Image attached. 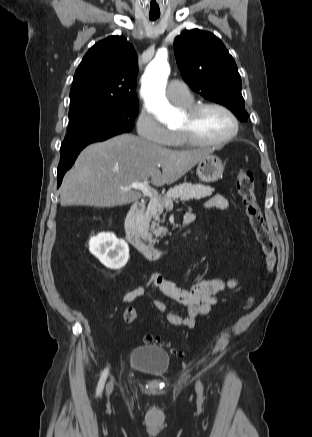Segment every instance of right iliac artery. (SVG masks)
I'll list each match as a JSON object with an SVG mask.
<instances>
[{"label": "right iliac artery", "instance_id": "82829eb1", "mask_svg": "<svg viewBox=\"0 0 312 437\" xmlns=\"http://www.w3.org/2000/svg\"><path fill=\"white\" fill-rule=\"evenodd\" d=\"M107 375H108V368H106L103 371V373H102V376L100 378V381H99V384H98V387H97V395L101 394V392L103 390V387H104V384H105V381H106Z\"/></svg>", "mask_w": 312, "mask_h": 437}]
</instances>
